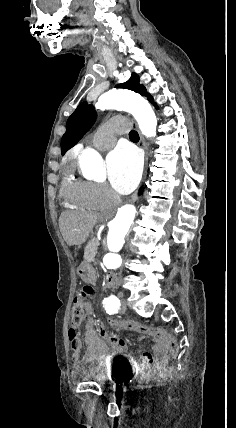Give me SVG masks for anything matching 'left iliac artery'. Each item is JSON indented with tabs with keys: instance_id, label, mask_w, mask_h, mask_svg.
I'll use <instances>...</instances> for the list:
<instances>
[{
	"instance_id": "obj_1",
	"label": "left iliac artery",
	"mask_w": 236,
	"mask_h": 428,
	"mask_svg": "<svg viewBox=\"0 0 236 428\" xmlns=\"http://www.w3.org/2000/svg\"><path fill=\"white\" fill-rule=\"evenodd\" d=\"M103 307H105L106 312L117 310L120 307V300L112 295L108 298H104L103 300Z\"/></svg>"
}]
</instances>
